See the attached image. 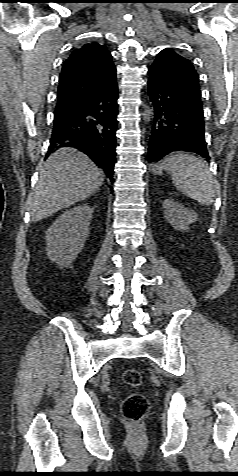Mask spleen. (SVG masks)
<instances>
[{
	"mask_svg": "<svg viewBox=\"0 0 238 476\" xmlns=\"http://www.w3.org/2000/svg\"><path fill=\"white\" fill-rule=\"evenodd\" d=\"M171 172L176 188L204 205L214 199V182L207 163L191 154L177 152L166 157L160 164Z\"/></svg>",
	"mask_w": 238,
	"mask_h": 476,
	"instance_id": "spleen-1",
	"label": "spleen"
}]
</instances>
